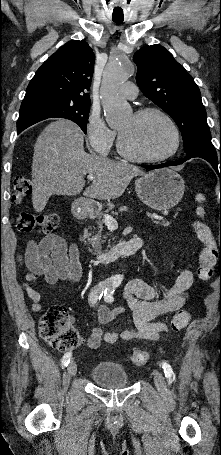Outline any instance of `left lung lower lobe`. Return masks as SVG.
Wrapping results in <instances>:
<instances>
[{
  "label": "left lung lower lobe",
  "mask_w": 221,
  "mask_h": 455,
  "mask_svg": "<svg viewBox=\"0 0 221 455\" xmlns=\"http://www.w3.org/2000/svg\"><path fill=\"white\" fill-rule=\"evenodd\" d=\"M194 157H199L203 158L206 161H208L212 167L215 169L217 174L221 177V158H220V166H219V160L217 158V153L215 148H207V147H196L190 151L187 152L186 158L183 160L177 161V162H167V163H162L159 165H145L144 167L147 169H158V168H163L166 166H175L183 163L184 161L194 158ZM220 169V172H219Z\"/></svg>",
  "instance_id": "1"
}]
</instances>
